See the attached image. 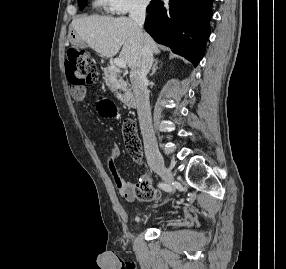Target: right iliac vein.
Wrapping results in <instances>:
<instances>
[{"instance_id": "right-iliac-vein-1", "label": "right iliac vein", "mask_w": 286, "mask_h": 269, "mask_svg": "<svg viewBox=\"0 0 286 269\" xmlns=\"http://www.w3.org/2000/svg\"><path fill=\"white\" fill-rule=\"evenodd\" d=\"M156 172L162 177V179L164 180V182L169 186V187H173L174 184V175L171 172L170 169H168L167 167H165L164 165H161Z\"/></svg>"}]
</instances>
